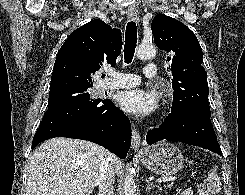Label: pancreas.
<instances>
[{
  "label": "pancreas",
  "mask_w": 245,
  "mask_h": 195,
  "mask_svg": "<svg viewBox=\"0 0 245 195\" xmlns=\"http://www.w3.org/2000/svg\"><path fill=\"white\" fill-rule=\"evenodd\" d=\"M173 186V183L171 184H168V185H165L164 187H168V188H171Z\"/></svg>",
  "instance_id": "obj_1"
}]
</instances>
